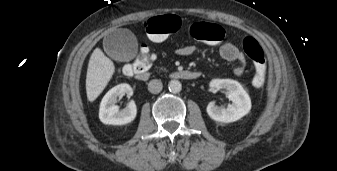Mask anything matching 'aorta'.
<instances>
[{"label": "aorta", "mask_w": 337, "mask_h": 171, "mask_svg": "<svg viewBox=\"0 0 337 171\" xmlns=\"http://www.w3.org/2000/svg\"><path fill=\"white\" fill-rule=\"evenodd\" d=\"M168 89L172 93H178L182 89V84L178 80H171L168 84Z\"/></svg>", "instance_id": "aorta-1"}]
</instances>
